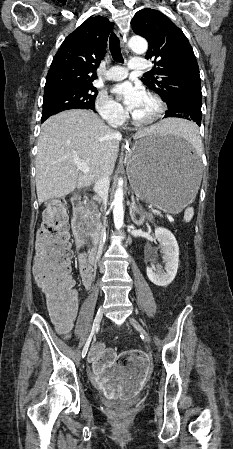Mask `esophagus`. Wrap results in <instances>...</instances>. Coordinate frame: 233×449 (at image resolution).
Returning <instances> with one entry per match:
<instances>
[{"mask_svg": "<svg viewBox=\"0 0 233 449\" xmlns=\"http://www.w3.org/2000/svg\"><path fill=\"white\" fill-rule=\"evenodd\" d=\"M117 35L120 40V43L122 44V46H124L126 43V33L122 29H118ZM125 51H127V48H125Z\"/></svg>", "mask_w": 233, "mask_h": 449, "instance_id": "34e87169", "label": "esophagus"}]
</instances>
